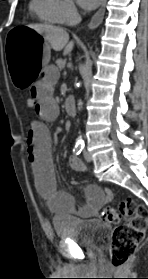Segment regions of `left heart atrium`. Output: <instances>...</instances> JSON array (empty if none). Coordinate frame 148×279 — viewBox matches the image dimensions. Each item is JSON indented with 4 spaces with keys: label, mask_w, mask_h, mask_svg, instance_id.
<instances>
[{
    "label": "left heart atrium",
    "mask_w": 148,
    "mask_h": 279,
    "mask_svg": "<svg viewBox=\"0 0 148 279\" xmlns=\"http://www.w3.org/2000/svg\"><path fill=\"white\" fill-rule=\"evenodd\" d=\"M102 0H78V3L85 9H93L97 7Z\"/></svg>",
    "instance_id": "obj_1"
}]
</instances>
